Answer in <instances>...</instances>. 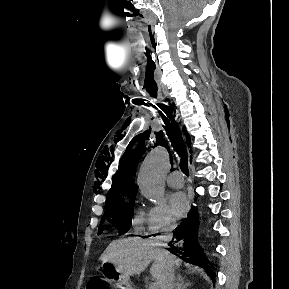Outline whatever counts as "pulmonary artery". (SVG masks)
Masks as SVG:
<instances>
[{
    "label": "pulmonary artery",
    "mask_w": 289,
    "mask_h": 289,
    "mask_svg": "<svg viewBox=\"0 0 289 289\" xmlns=\"http://www.w3.org/2000/svg\"><path fill=\"white\" fill-rule=\"evenodd\" d=\"M167 184L173 188H181L184 185V178L181 172L173 171L167 176Z\"/></svg>",
    "instance_id": "obj_1"
}]
</instances>
